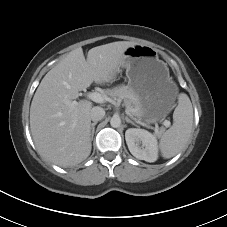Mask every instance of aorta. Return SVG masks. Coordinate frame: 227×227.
Here are the masks:
<instances>
[{"mask_svg": "<svg viewBox=\"0 0 227 227\" xmlns=\"http://www.w3.org/2000/svg\"><path fill=\"white\" fill-rule=\"evenodd\" d=\"M110 125L113 127V128H118L120 127L121 125V119L120 117L118 116H113L110 120Z\"/></svg>", "mask_w": 227, "mask_h": 227, "instance_id": "1", "label": "aorta"}]
</instances>
